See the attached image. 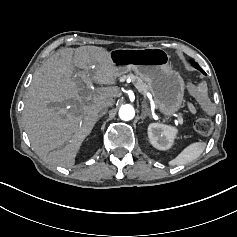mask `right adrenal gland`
I'll return each mask as SVG.
<instances>
[{"label":"right adrenal gland","instance_id":"2a0ac1e0","mask_svg":"<svg viewBox=\"0 0 237 237\" xmlns=\"http://www.w3.org/2000/svg\"><path fill=\"white\" fill-rule=\"evenodd\" d=\"M107 111H108L107 109L102 110V111L99 113L97 120H99L103 115H105V114L107 113Z\"/></svg>","mask_w":237,"mask_h":237}]
</instances>
